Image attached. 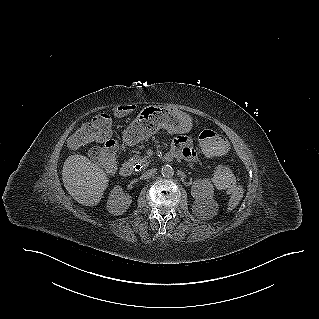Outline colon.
Instances as JSON below:
<instances>
[{
	"label": "colon",
	"instance_id": "colon-1",
	"mask_svg": "<svg viewBox=\"0 0 319 319\" xmlns=\"http://www.w3.org/2000/svg\"><path fill=\"white\" fill-rule=\"evenodd\" d=\"M106 114L97 115L93 121L82 126L71 138L69 144L76 149L89 141H99L101 146L91 151V158L97 161L105 170L111 171L116 165V146L111 139V132ZM199 141L207 157L224 158L232 150V141L224 133L214 130H204L199 136ZM217 183L226 190H233L235 178L232 172L225 167H217L214 173Z\"/></svg>",
	"mask_w": 319,
	"mask_h": 319
}]
</instances>
